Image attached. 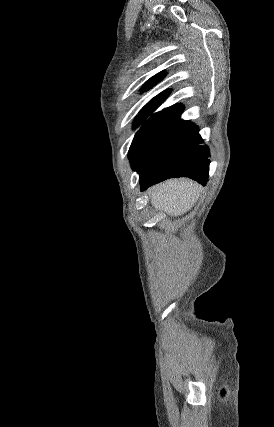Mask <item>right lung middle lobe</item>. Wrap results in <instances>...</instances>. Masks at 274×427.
<instances>
[{"label": "right lung middle lobe", "instance_id": "1", "mask_svg": "<svg viewBox=\"0 0 274 427\" xmlns=\"http://www.w3.org/2000/svg\"><path fill=\"white\" fill-rule=\"evenodd\" d=\"M159 105V102L148 103L134 121V125H138L142 122H144V124L136 133L129 150V159L132 167H135L143 159L151 143L159 136L164 123L174 108V106H172L157 112L145 121L146 117L149 116Z\"/></svg>", "mask_w": 274, "mask_h": 427}]
</instances>
